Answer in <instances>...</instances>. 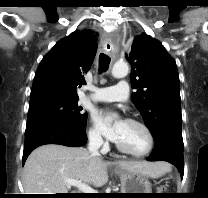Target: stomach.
<instances>
[{"mask_svg": "<svg viewBox=\"0 0 208 198\" xmlns=\"http://www.w3.org/2000/svg\"><path fill=\"white\" fill-rule=\"evenodd\" d=\"M121 180V193H151V183L147 176L119 171ZM126 197H145L144 194H125Z\"/></svg>", "mask_w": 208, "mask_h": 198, "instance_id": "0dacf381", "label": "stomach"}]
</instances>
